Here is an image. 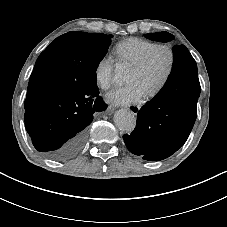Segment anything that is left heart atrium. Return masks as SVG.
<instances>
[{"instance_id": "39dd6f15", "label": "left heart atrium", "mask_w": 227, "mask_h": 227, "mask_svg": "<svg viewBox=\"0 0 227 227\" xmlns=\"http://www.w3.org/2000/svg\"><path fill=\"white\" fill-rule=\"evenodd\" d=\"M147 93L137 84H129L120 89H114L105 95L106 101L112 106L138 104Z\"/></svg>"}]
</instances>
